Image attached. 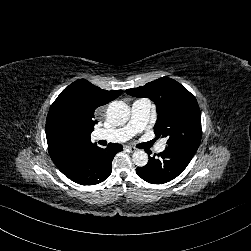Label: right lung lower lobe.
Listing matches in <instances>:
<instances>
[{"instance_id":"right-lung-lower-lobe-1","label":"right lung lower lobe","mask_w":251,"mask_h":251,"mask_svg":"<svg viewBox=\"0 0 251 251\" xmlns=\"http://www.w3.org/2000/svg\"><path fill=\"white\" fill-rule=\"evenodd\" d=\"M120 144L110 143L106 149L93 146L68 159L58 169L81 185H95L107 179L112 171V160L122 151Z\"/></svg>"}]
</instances>
